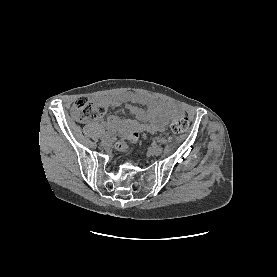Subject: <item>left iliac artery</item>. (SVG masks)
<instances>
[{
  "mask_svg": "<svg viewBox=\"0 0 277 277\" xmlns=\"http://www.w3.org/2000/svg\"><path fill=\"white\" fill-rule=\"evenodd\" d=\"M158 142L160 144H166L167 143V140L165 138H158Z\"/></svg>",
  "mask_w": 277,
  "mask_h": 277,
  "instance_id": "obj_1",
  "label": "left iliac artery"
}]
</instances>
